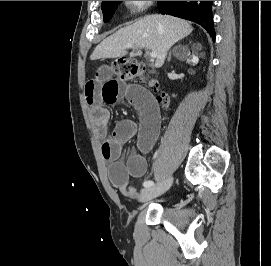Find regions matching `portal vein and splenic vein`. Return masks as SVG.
Instances as JSON below:
<instances>
[{
	"label": "portal vein and splenic vein",
	"mask_w": 271,
	"mask_h": 266,
	"mask_svg": "<svg viewBox=\"0 0 271 266\" xmlns=\"http://www.w3.org/2000/svg\"><path fill=\"white\" fill-rule=\"evenodd\" d=\"M132 47H133V45H131V44H127V45L124 46V48H132ZM148 54L153 59L157 57V53L155 51L148 52Z\"/></svg>",
	"instance_id": "1"
}]
</instances>
